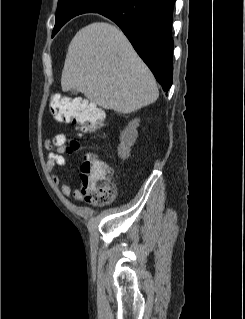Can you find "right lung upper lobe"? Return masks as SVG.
<instances>
[{
    "label": "right lung upper lobe",
    "mask_w": 245,
    "mask_h": 319,
    "mask_svg": "<svg viewBox=\"0 0 245 319\" xmlns=\"http://www.w3.org/2000/svg\"><path fill=\"white\" fill-rule=\"evenodd\" d=\"M60 1H67V5L65 7L67 15L61 19L59 22H57V26H63L68 20H70L72 17L77 16L82 13L86 12H92L88 10H84L81 6L83 0H59Z\"/></svg>",
    "instance_id": "1"
}]
</instances>
